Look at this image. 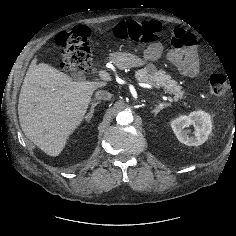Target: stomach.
Returning <instances> with one entry per match:
<instances>
[{
	"instance_id": "obj_1",
	"label": "stomach",
	"mask_w": 236,
	"mask_h": 236,
	"mask_svg": "<svg viewBox=\"0 0 236 236\" xmlns=\"http://www.w3.org/2000/svg\"><path fill=\"white\" fill-rule=\"evenodd\" d=\"M110 59L121 70L141 67L146 63L144 59L128 52H113Z\"/></svg>"
}]
</instances>
